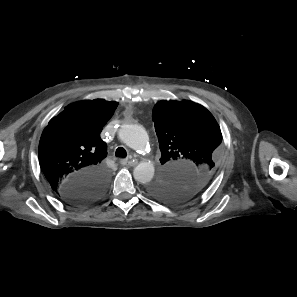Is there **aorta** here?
<instances>
[{
  "mask_svg": "<svg viewBox=\"0 0 297 297\" xmlns=\"http://www.w3.org/2000/svg\"><path fill=\"white\" fill-rule=\"evenodd\" d=\"M119 139L131 149L143 152L149 143V136L144 127L137 124H124L118 133ZM155 168L151 161L140 162L133 171L134 179L140 183H149Z\"/></svg>",
  "mask_w": 297,
  "mask_h": 297,
  "instance_id": "obj_1",
  "label": "aorta"
}]
</instances>
